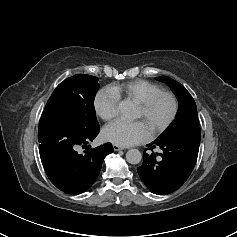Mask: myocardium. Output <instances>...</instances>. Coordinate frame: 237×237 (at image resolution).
<instances>
[{"label": "myocardium", "instance_id": "1", "mask_svg": "<svg viewBox=\"0 0 237 237\" xmlns=\"http://www.w3.org/2000/svg\"><path fill=\"white\" fill-rule=\"evenodd\" d=\"M163 97H167L170 99V101L172 103V110H171V113L169 114V116L163 122H161L160 124H158L151 130L150 136L152 138L156 137L157 135L162 133L175 120V118L178 114V110H179L178 99L170 91H159V92L149 96L145 100L136 103L137 107L140 109V111L142 113V116L147 117L148 114L150 113L151 109L155 105V103L160 98H163Z\"/></svg>", "mask_w": 237, "mask_h": 237}]
</instances>
